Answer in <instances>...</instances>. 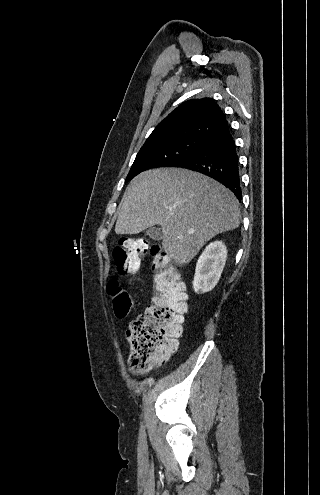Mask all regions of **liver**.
<instances>
[{
  "label": "liver",
  "instance_id": "6515ba94",
  "mask_svg": "<svg viewBox=\"0 0 320 495\" xmlns=\"http://www.w3.org/2000/svg\"><path fill=\"white\" fill-rule=\"evenodd\" d=\"M156 224L164 251L187 264L211 238L239 226V202L205 175L180 168L148 170L128 186L115 232L133 235Z\"/></svg>",
  "mask_w": 320,
  "mask_h": 495
}]
</instances>
